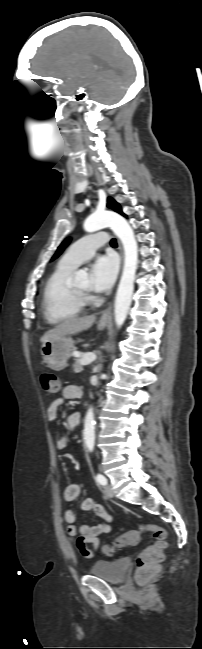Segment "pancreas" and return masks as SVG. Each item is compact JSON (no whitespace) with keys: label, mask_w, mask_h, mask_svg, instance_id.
Wrapping results in <instances>:
<instances>
[{"label":"pancreas","mask_w":202,"mask_h":649,"mask_svg":"<svg viewBox=\"0 0 202 649\" xmlns=\"http://www.w3.org/2000/svg\"><path fill=\"white\" fill-rule=\"evenodd\" d=\"M73 368L75 373H81L83 371V365L81 364V359L76 360Z\"/></svg>","instance_id":"obj_1"}]
</instances>
